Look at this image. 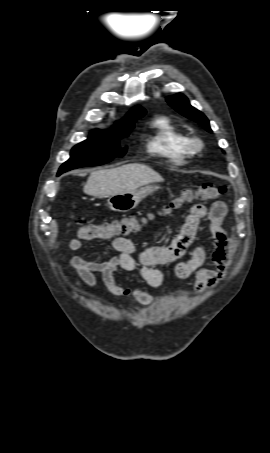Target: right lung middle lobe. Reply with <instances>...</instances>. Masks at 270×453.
I'll list each match as a JSON object with an SVG mask.
<instances>
[{
	"label": "right lung middle lobe",
	"mask_w": 270,
	"mask_h": 453,
	"mask_svg": "<svg viewBox=\"0 0 270 453\" xmlns=\"http://www.w3.org/2000/svg\"><path fill=\"white\" fill-rule=\"evenodd\" d=\"M134 125L126 129H113L112 132L93 131L90 137L74 146L71 157L59 169L58 175L65 171L105 164L115 157H122L126 149L119 147V139L128 136Z\"/></svg>",
	"instance_id": "dd1d6c3e"
}]
</instances>
